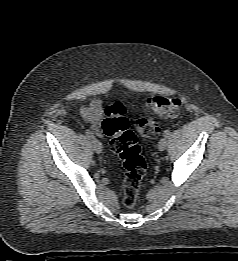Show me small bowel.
Returning <instances> with one entry per match:
<instances>
[{
    "label": "small bowel",
    "instance_id": "obj_1",
    "mask_svg": "<svg viewBox=\"0 0 238 261\" xmlns=\"http://www.w3.org/2000/svg\"><path fill=\"white\" fill-rule=\"evenodd\" d=\"M104 109L99 100L95 99L89 105L81 108L83 119L90 124L91 129L96 135H101V122Z\"/></svg>",
    "mask_w": 238,
    "mask_h": 261
}]
</instances>
